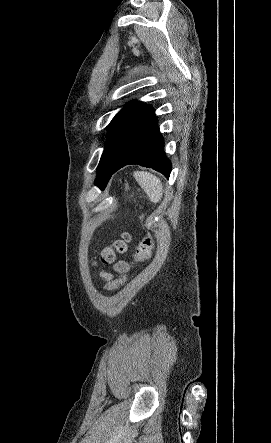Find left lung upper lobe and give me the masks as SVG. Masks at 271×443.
I'll return each instance as SVG.
<instances>
[{
	"mask_svg": "<svg viewBox=\"0 0 271 443\" xmlns=\"http://www.w3.org/2000/svg\"><path fill=\"white\" fill-rule=\"evenodd\" d=\"M143 106L142 102H131L127 104L111 121L109 125L107 142L100 159L98 174L95 184L102 190L110 179V170L117 154L119 144L124 136L125 130L135 119L137 113Z\"/></svg>",
	"mask_w": 271,
	"mask_h": 443,
	"instance_id": "5c2ea615",
	"label": "left lung upper lobe"
}]
</instances>
